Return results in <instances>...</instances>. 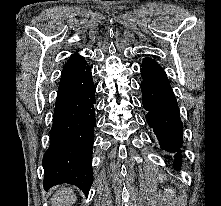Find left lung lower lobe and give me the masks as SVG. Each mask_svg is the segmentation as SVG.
<instances>
[{"label": "left lung lower lobe", "mask_w": 221, "mask_h": 206, "mask_svg": "<svg viewBox=\"0 0 221 206\" xmlns=\"http://www.w3.org/2000/svg\"><path fill=\"white\" fill-rule=\"evenodd\" d=\"M142 103L146 121L153 128L162 149L175 153L179 168L183 125L173 90L163 70L141 68Z\"/></svg>", "instance_id": "obj_1"}]
</instances>
